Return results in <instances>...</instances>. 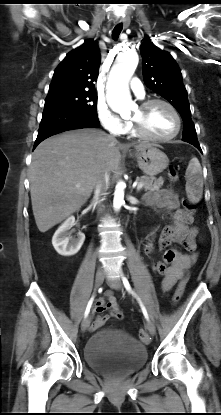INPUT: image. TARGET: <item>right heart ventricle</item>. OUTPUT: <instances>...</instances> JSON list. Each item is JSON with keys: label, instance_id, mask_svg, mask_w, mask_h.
<instances>
[{"label": "right heart ventricle", "instance_id": "right-heart-ventricle-1", "mask_svg": "<svg viewBox=\"0 0 221 415\" xmlns=\"http://www.w3.org/2000/svg\"><path fill=\"white\" fill-rule=\"evenodd\" d=\"M128 132L131 134V135H136L135 133H134V131H133V128L131 127V125H129V128H128Z\"/></svg>", "mask_w": 221, "mask_h": 415}]
</instances>
